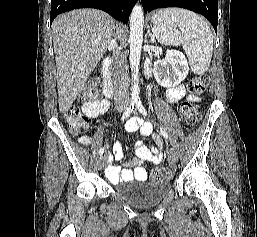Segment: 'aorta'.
Listing matches in <instances>:
<instances>
[{
    "instance_id": "obj_1",
    "label": "aorta",
    "mask_w": 257,
    "mask_h": 237,
    "mask_svg": "<svg viewBox=\"0 0 257 237\" xmlns=\"http://www.w3.org/2000/svg\"><path fill=\"white\" fill-rule=\"evenodd\" d=\"M144 12L140 5L136 4L130 15V68L132 72L131 98H139L138 73L140 65L141 48L143 43Z\"/></svg>"
}]
</instances>
